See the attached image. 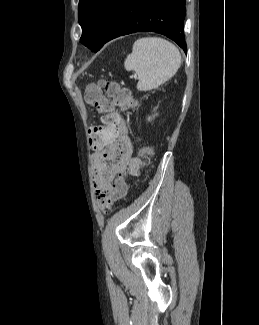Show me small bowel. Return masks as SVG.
Returning a JSON list of instances; mask_svg holds the SVG:
<instances>
[{
  "label": "small bowel",
  "instance_id": "obj_1",
  "mask_svg": "<svg viewBox=\"0 0 259 325\" xmlns=\"http://www.w3.org/2000/svg\"><path fill=\"white\" fill-rule=\"evenodd\" d=\"M101 112L110 115L112 125L101 127L98 142H90L95 150L93 157V180L98 194L110 193L114 180L124 174L138 176L142 162L134 154L124 118L114 110L112 104Z\"/></svg>",
  "mask_w": 259,
  "mask_h": 325
}]
</instances>
